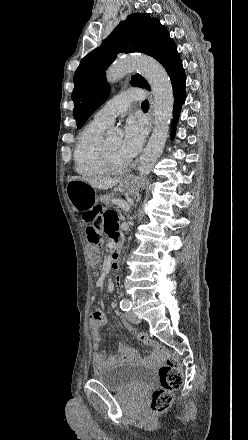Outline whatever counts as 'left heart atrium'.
Here are the masks:
<instances>
[{
  "mask_svg": "<svg viewBox=\"0 0 248 440\" xmlns=\"http://www.w3.org/2000/svg\"><path fill=\"white\" fill-rule=\"evenodd\" d=\"M144 139V125L134 118L128 119L120 143V153L127 162L131 161L139 153L143 146Z\"/></svg>",
  "mask_w": 248,
  "mask_h": 440,
  "instance_id": "39dd6f15",
  "label": "left heart atrium"
}]
</instances>
